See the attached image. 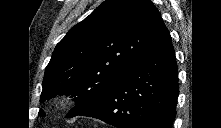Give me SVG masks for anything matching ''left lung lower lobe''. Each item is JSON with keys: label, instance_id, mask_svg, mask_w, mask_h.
Returning <instances> with one entry per match:
<instances>
[{"label": "left lung lower lobe", "instance_id": "left-lung-lower-lobe-1", "mask_svg": "<svg viewBox=\"0 0 221 128\" xmlns=\"http://www.w3.org/2000/svg\"><path fill=\"white\" fill-rule=\"evenodd\" d=\"M178 93V67L165 28L108 95L77 116L97 118L117 128H171Z\"/></svg>", "mask_w": 221, "mask_h": 128}]
</instances>
